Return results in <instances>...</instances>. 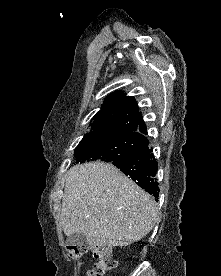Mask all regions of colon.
Instances as JSON below:
<instances>
[{"instance_id": "1", "label": "colon", "mask_w": 221, "mask_h": 276, "mask_svg": "<svg viewBox=\"0 0 221 276\" xmlns=\"http://www.w3.org/2000/svg\"><path fill=\"white\" fill-rule=\"evenodd\" d=\"M89 250L96 258V263L89 271L88 276H105L108 271L116 267L117 261L112 256L110 248L106 246L73 245L67 247L68 254L72 259L81 258Z\"/></svg>"}]
</instances>
